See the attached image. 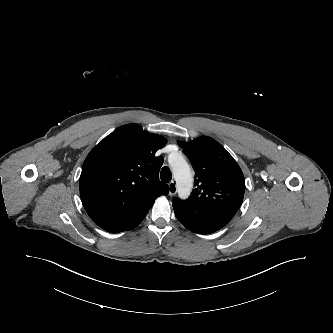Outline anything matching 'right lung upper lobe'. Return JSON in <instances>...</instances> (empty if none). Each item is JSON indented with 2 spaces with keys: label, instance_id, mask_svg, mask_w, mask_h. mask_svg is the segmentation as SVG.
<instances>
[{
  "label": "right lung upper lobe",
  "instance_id": "right-lung-upper-lobe-1",
  "mask_svg": "<svg viewBox=\"0 0 333 333\" xmlns=\"http://www.w3.org/2000/svg\"><path fill=\"white\" fill-rule=\"evenodd\" d=\"M166 142L132 123L91 150L82 167L80 196L98 226L108 232L125 230L142 221L157 197L168 194L158 176L163 158L155 155Z\"/></svg>",
  "mask_w": 333,
  "mask_h": 333
}]
</instances>
